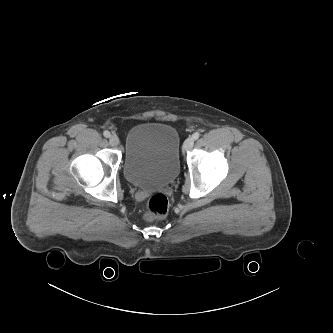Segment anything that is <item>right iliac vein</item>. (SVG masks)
<instances>
[{
    "label": "right iliac vein",
    "mask_w": 333,
    "mask_h": 333,
    "mask_svg": "<svg viewBox=\"0 0 333 333\" xmlns=\"http://www.w3.org/2000/svg\"><path fill=\"white\" fill-rule=\"evenodd\" d=\"M109 143L112 146H117V145H119L120 140L116 135H111L109 138Z\"/></svg>",
    "instance_id": "63e3f726"
}]
</instances>
